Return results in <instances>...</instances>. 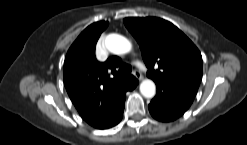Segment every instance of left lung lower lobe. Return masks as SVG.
<instances>
[{
	"instance_id": "1",
	"label": "left lung lower lobe",
	"mask_w": 247,
	"mask_h": 145,
	"mask_svg": "<svg viewBox=\"0 0 247 145\" xmlns=\"http://www.w3.org/2000/svg\"><path fill=\"white\" fill-rule=\"evenodd\" d=\"M157 93L149 104L151 115L162 122H169L182 116L194 100V95L188 94L164 82H155Z\"/></svg>"
}]
</instances>
